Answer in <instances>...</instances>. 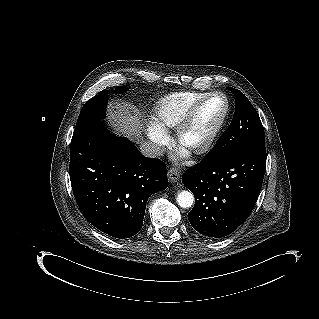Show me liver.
<instances>
[{"mask_svg": "<svg viewBox=\"0 0 319 319\" xmlns=\"http://www.w3.org/2000/svg\"><path fill=\"white\" fill-rule=\"evenodd\" d=\"M108 120L114 124L119 132L130 139H137L141 135L140 118L125 106H119L111 111Z\"/></svg>", "mask_w": 319, "mask_h": 319, "instance_id": "6515ba94", "label": "liver"}]
</instances>
